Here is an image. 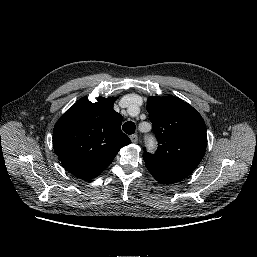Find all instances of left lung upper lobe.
I'll use <instances>...</instances> for the list:
<instances>
[{"mask_svg":"<svg viewBox=\"0 0 257 257\" xmlns=\"http://www.w3.org/2000/svg\"><path fill=\"white\" fill-rule=\"evenodd\" d=\"M147 111L159 145L153 155L144 148L146 167L188 177L205 154L207 133L203 118L192 106L174 96L149 97Z\"/></svg>","mask_w":257,"mask_h":257,"instance_id":"left-lung-upper-lobe-1","label":"left lung upper lobe"}]
</instances>
